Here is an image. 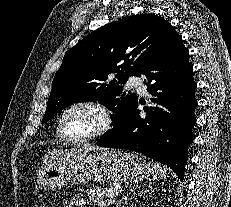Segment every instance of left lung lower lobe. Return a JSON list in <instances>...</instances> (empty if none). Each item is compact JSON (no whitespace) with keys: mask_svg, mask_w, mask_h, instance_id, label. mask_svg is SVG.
Returning a JSON list of instances; mask_svg holds the SVG:
<instances>
[{"mask_svg":"<svg viewBox=\"0 0 231 207\" xmlns=\"http://www.w3.org/2000/svg\"><path fill=\"white\" fill-rule=\"evenodd\" d=\"M189 52L182 38L154 57L142 74L154 106L137 109L138 99L122 116L118 127L97 140V145L140 152L172 168L183 180L188 146L196 122L194 96L196 83Z\"/></svg>","mask_w":231,"mask_h":207,"instance_id":"obj_1","label":"left lung lower lobe"}]
</instances>
